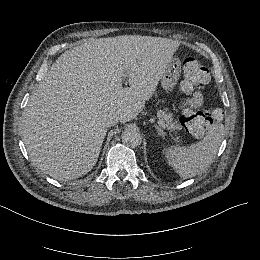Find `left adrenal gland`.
Masks as SVG:
<instances>
[{
	"mask_svg": "<svg viewBox=\"0 0 260 260\" xmlns=\"http://www.w3.org/2000/svg\"><path fill=\"white\" fill-rule=\"evenodd\" d=\"M156 128H157V130L160 132V135H163V130H162V128H160L159 126H157Z\"/></svg>",
	"mask_w": 260,
	"mask_h": 260,
	"instance_id": "left-adrenal-gland-1",
	"label": "left adrenal gland"
}]
</instances>
